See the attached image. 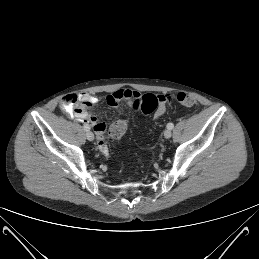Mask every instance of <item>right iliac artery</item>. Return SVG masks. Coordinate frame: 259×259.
Listing matches in <instances>:
<instances>
[{
    "label": "right iliac artery",
    "instance_id": "obj_1",
    "mask_svg": "<svg viewBox=\"0 0 259 259\" xmlns=\"http://www.w3.org/2000/svg\"><path fill=\"white\" fill-rule=\"evenodd\" d=\"M84 130L89 131L90 130V126L88 124H84L83 126Z\"/></svg>",
    "mask_w": 259,
    "mask_h": 259
}]
</instances>
